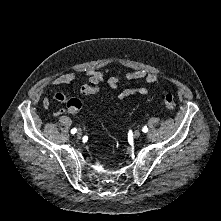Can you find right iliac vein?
Segmentation results:
<instances>
[{"label":"right iliac vein","mask_w":221,"mask_h":221,"mask_svg":"<svg viewBox=\"0 0 221 221\" xmlns=\"http://www.w3.org/2000/svg\"><path fill=\"white\" fill-rule=\"evenodd\" d=\"M77 136L80 138L82 136V130L81 129H78L77 130Z\"/></svg>","instance_id":"obj_1"}]
</instances>
